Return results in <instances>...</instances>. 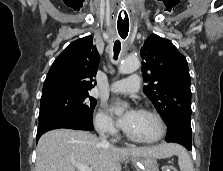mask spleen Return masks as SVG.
<instances>
[{"label": "spleen", "mask_w": 223, "mask_h": 171, "mask_svg": "<svg viewBox=\"0 0 223 171\" xmlns=\"http://www.w3.org/2000/svg\"><path fill=\"white\" fill-rule=\"evenodd\" d=\"M175 154L178 156V164L180 171H194L191 157L184 148L176 145Z\"/></svg>", "instance_id": "spleen-1"}]
</instances>
